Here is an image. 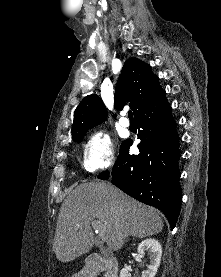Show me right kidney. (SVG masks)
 Masks as SVG:
<instances>
[{
	"label": "right kidney",
	"mask_w": 221,
	"mask_h": 277,
	"mask_svg": "<svg viewBox=\"0 0 221 277\" xmlns=\"http://www.w3.org/2000/svg\"><path fill=\"white\" fill-rule=\"evenodd\" d=\"M137 251L140 257H143L145 252L150 255V264L147 266V270L142 272L141 277H155L162 256L161 244L157 240L149 238L139 244ZM131 271V266L124 267L120 272V277H131Z\"/></svg>",
	"instance_id": "ca27d5eb"
}]
</instances>
